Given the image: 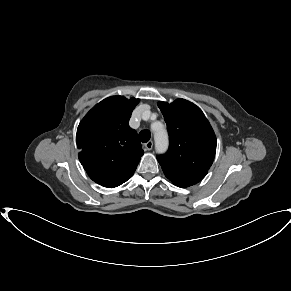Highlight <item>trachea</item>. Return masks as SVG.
<instances>
[{
	"label": "trachea",
	"mask_w": 291,
	"mask_h": 291,
	"mask_svg": "<svg viewBox=\"0 0 291 291\" xmlns=\"http://www.w3.org/2000/svg\"><path fill=\"white\" fill-rule=\"evenodd\" d=\"M150 137H151V133L148 130H142L139 133V138L144 143L148 142L150 140Z\"/></svg>",
	"instance_id": "obj_1"
}]
</instances>
